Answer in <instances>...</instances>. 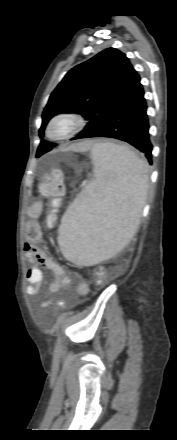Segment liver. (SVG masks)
<instances>
[{"instance_id":"1","label":"liver","mask_w":177,"mask_h":440,"mask_svg":"<svg viewBox=\"0 0 177 440\" xmlns=\"http://www.w3.org/2000/svg\"><path fill=\"white\" fill-rule=\"evenodd\" d=\"M91 145H92V142L84 141V142H81V143H78L76 145L71 146L70 149L73 151H85V150L89 149L91 147Z\"/></svg>"}]
</instances>
